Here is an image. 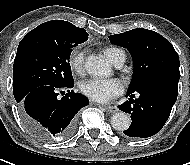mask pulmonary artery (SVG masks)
<instances>
[{
	"label": "pulmonary artery",
	"mask_w": 190,
	"mask_h": 165,
	"mask_svg": "<svg viewBox=\"0 0 190 165\" xmlns=\"http://www.w3.org/2000/svg\"><path fill=\"white\" fill-rule=\"evenodd\" d=\"M124 60H125L124 58L120 59V61L118 63H116L115 66H118V67L121 66L123 64Z\"/></svg>",
	"instance_id": "e3ab8cb5"
}]
</instances>
